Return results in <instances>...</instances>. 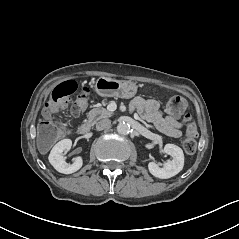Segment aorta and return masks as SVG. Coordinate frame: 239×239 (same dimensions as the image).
<instances>
[{
    "label": "aorta",
    "mask_w": 239,
    "mask_h": 239,
    "mask_svg": "<svg viewBox=\"0 0 239 239\" xmlns=\"http://www.w3.org/2000/svg\"><path fill=\"white\" fill-rule=\"evenodd\" d=\"M130 131V127L128 124L126 123H120L118 126H117V132L121 135H126L128 134Z\"/></svg>",
    "instance_id": "762f6f07"
}]
</instances>
